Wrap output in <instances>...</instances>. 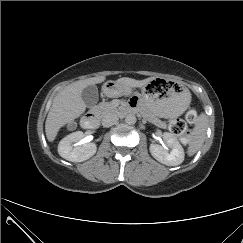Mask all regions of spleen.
I'll return each mask as SVG.
<instances>
[{
	"instance_id": "1",
	"label": "spleen",
	"mask_w": 243,
	"mask_h": 243,
	"mask_svg": "<svg viewBox=\"0 0 243 243\" xmlns=\"http://www.w3.org/2000/svg\"><path fill=\"white\" fill-rule=\"evenodd\" d=\"M207 116L201 113L190 136L188 155L193 156L203 145L206 138Z\"/></svg>"
}]
</instances>
